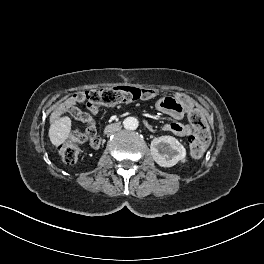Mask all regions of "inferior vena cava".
I'll use <instances>...</instances> for the list:
<instances>
[{
    "instance_id": "1",
    "label": "inferior vena cava",
    "mask_w": 264,
    "mask_h": 264,
    "mask_svg": "<svg viewBox=\"0 0 264 264\" xmlns=\"http://www.w3.org/2000/svg\"><path fill=\"white\" fill-rule=\"evenodd\" d=\"M123 129L122 125H119L116 127V129H112V131L109 132L110 136L117 135L119 132H121Z\"/></svg>"
}]
</instances>
